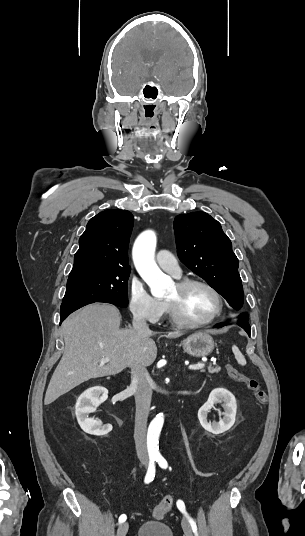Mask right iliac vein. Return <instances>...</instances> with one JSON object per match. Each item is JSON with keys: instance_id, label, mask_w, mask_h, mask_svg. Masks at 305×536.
<instances>
[{"instance_id": "1", "label": "right iliac vein", "mask_w": 305, "mask_h": 536, "mask_svg": "<svg viewBox=\"0 0 305 536\" xmlns=\"http://www.w3.org/2000/svg\"><path fill=\"white\" fill-rule=\"evenodd\" d=\"M128 531V523H121L117 530V536H126Z\"/></svg>"}]
</instances>
